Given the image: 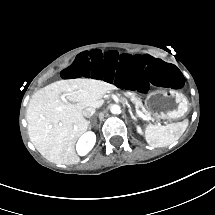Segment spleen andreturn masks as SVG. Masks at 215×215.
Instances as JSON below:
<instances>
[{
    "mask_svg": "<svg viewBox=\"0 0 215 215\" xmlns=\"http://www.w3.org/2000/svg\"><path fill=\"white\" fill-rule=\"evenodd\" d=\"M185 122L186 120L166 126L149 124L145 130L147 143L153 147H165L172 144L181 136L179 132L182 130Z\"/></svg>",
    "mask_w": 215,
    "mask_h": 215,
    "instance_id": "spleen-1",
    "label": "spleen"
}]
</instances>
